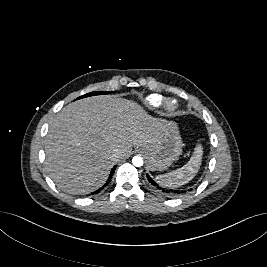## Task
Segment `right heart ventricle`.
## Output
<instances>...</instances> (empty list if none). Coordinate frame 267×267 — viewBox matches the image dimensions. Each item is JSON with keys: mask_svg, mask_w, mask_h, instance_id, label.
Wrapping results in <instances>:
<instances>
[{"mask_svg": "<svg viewBox=\"0 0 267 267\" xmlns=\"http://www.w3.org/2000/svg\"><path fill=\"white\" fill-rule=\"evenodd\" d=\"M145 102L148 107L156 109L162 104L163 97L158 94H152L146 98Z\"/></svg>", "mask_w": 267, "mask_h": 267, "instance_id": "1", "label": "right heart ventricle"}]
</instances>
